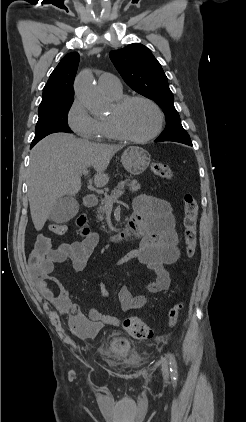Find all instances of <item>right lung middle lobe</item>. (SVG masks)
Returning <instances> with one entry per match:
<instances>
[{
    "label": "right lung middle lobe",
    "instance_id": "obj_1",
    "mask_svg": "<svg viewBox=\"0 0 246 422\" xmlns=\"http://www.w3.org/2000/svg\"><path fill=\"white\" fill-rule=\"evenodd\" d=\"M73 101L74 99H67L39 107V119L36 124L35 137L31 145L34 146L51 133L72 132L68 126V111Z\"/></svg>",
    "mask_w": 246,
    "mask_h": 422
}]
</instances>
